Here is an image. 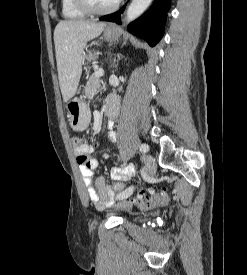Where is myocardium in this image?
Masks as SVG:
<instances>
[{
    "mask_svg": "<svg viewBox=\"0 0 247 275\" xmlns=\"http://www.w3.org/2000/svg\"><path fill=\"white\" fill-rule=\"evenodd\" d=\"M74 6L87 15H106L115 11L121 0H117L111 7L97 9L90 5L87 0H72Z\"/></svg>",
    "mask_w": 247,
    "mask_h": 275,
    "instance_id": "1",
    "label": "myocardium"
}]
</instances>
